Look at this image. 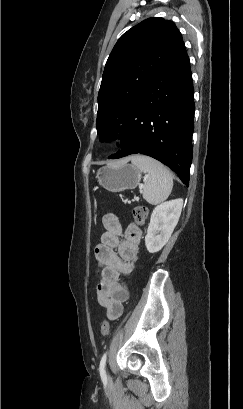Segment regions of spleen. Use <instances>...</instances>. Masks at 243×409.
I'll return each instance as SVG.
<instances>
[{"mask_svg": "<svg viewBox=\"0 0 243 409\" xmlns=\"http://www.w3.org/2000/svg\"><path fill=\"white\" fill-rule=\"evenodd\" d=\"M130 159L134 166L147 174L143 198L153 205L166 200L173 187V177L169 170L160 162L147 156L134 155Z\"/></svg>", "mask_w": 243, "mask_h": 409, "instance_id": "obj_1", "label": "spleen"}]
</instances>
